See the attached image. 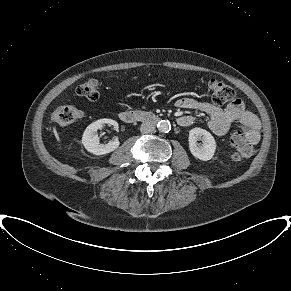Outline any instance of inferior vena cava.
I'll return each mask as SVG.
<instances>
[{"instance_id":"1","label":"inferior vena cava","mask_w":291,"mask_h":291,"mask_svg":"<svg viewBox=\"0 0 291 291\" xmlns=\"http://www.w3.org/2000/svg\"><path fill=\"white\" fill-rule=\"evenodd\" d=\"M154 130L155 126L150 122H144L140 127V131L144 134L152 133Z\"/></svg>"}]
</instances>
